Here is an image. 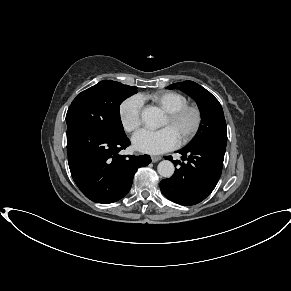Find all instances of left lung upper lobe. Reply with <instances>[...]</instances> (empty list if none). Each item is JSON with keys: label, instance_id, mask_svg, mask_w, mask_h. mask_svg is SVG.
I'll use <instances>...</instances> for the list:
<instances>
[{"label": "left lung upper lobe", "instance_id": "obj_1", "mask_svg": "<svg viewBox=\"0 0 291 291\" xmlns=\"http://www.w3.org/2000/svg\"><path fill=\"white\" fill-rule=\"evenodd\" d=\"M177 85L178 83H174L168 88L173 89ZM179 88L196 101L202 118L195 138L188 145L204 141L226 143L227 127L219 101L209 91L193 81L182 82Z\"/></svg>", "mask_w": 291, "mask_h": 291}]
</instances>
